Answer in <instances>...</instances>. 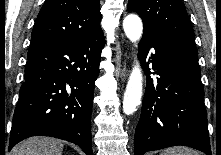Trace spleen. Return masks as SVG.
<instances>
[{
  "mask_svg": "<svg viewBox=\"0 0 221 155\" xmlns=\"http://www.w3.org/2000/svg\"><path fill=\"white\" fill-rule=\"evenodd\" d=\"M161 155H199V153L190 148L178 146L162 151Z\"/></svg>",
  "mask_w": 221,
  "mask_h": 155,
  "instance_id": "obj_1",
  "label": "spleen"
}]
</instances>
